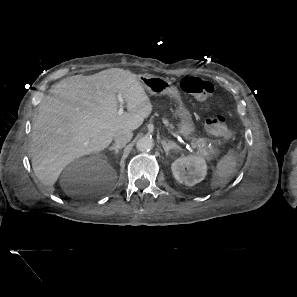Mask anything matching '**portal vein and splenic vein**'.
Listing matches in <instances>:
<instances>
[{"instance_id": "obj_1", "label": "portal vein and splenic vein", "mask_w": 297, "mask_h": 297, "mask_svg": "<svg viewBox=\"0 0 297 297\" xmlns=\"http://www.w3.org/2000/svg\"><path fill=\"white\" fill-rule=\"evenodd\" d=\"M117 99H118V101H119V109H118V114L119 115H121V114H123V108H124V99H123V97H122V95L121 94H118L117 95ZM191 146L193 147V148H196V146L192 143L191 144Z\"/></svg>"}]
</instances>
